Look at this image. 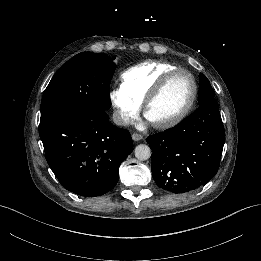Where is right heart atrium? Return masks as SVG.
Wrapping results in <instances>:
<instances>
[{"label": "right heart atrium", "mask_w": 261, "mask_h": 261, "mask_svg": "<svg viewBox=\"0 0 261 261\" xmlns=\"http://www.w3.org/2000/svg\"><path fill=\"white\" fill-rule=\"evenodd\" d=\"M115 117L123 126L132 125L139 117L141 104L122 87L112 89L109 94Z\"/></svg>", "instance_id": "d8ad5b80"}]
</instances>
